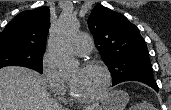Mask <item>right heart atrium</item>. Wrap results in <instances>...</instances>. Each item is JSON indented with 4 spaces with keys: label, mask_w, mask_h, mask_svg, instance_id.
<instances>
[{
    "label": "right heart atrium",
    "mask_w": 171,
    "mask_h": 110,
    "mask_svg": "<svg viewBox=\"0 0 171 110\" xmlns=\"http://www.w3.org/2000/svg\"><path fill=\"white\" fill-rule=\"evenodd\" d=\"M41 75L53 96L57 98L65 96L66 84L48 54H45L41 60Z\"/></svg>",
    "instance_id": "obj_1"
}]
</instances>
